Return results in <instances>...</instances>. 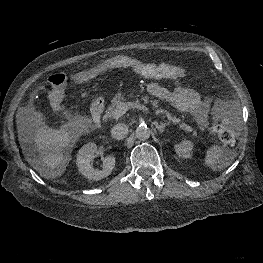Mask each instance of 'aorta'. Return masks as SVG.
I'll list each match as a JSON object with an SVG mask.
<instances>
[{
    "instance_id": "aorta-1",
    "label": "aorta",
    "mask_w": 263,
    "mask_h": 263,
    "mask_svg": "<svg viewBox=\"0 0 263 263\" xmlns=\"http://www.w3.org/2000/svg\"><path fill=\"white\" fill-rule=\"evenodd\" d=\"M150 134V129L145 125H139L135 131L136 137L142 141L147 140L150 137Z\"/></svg>"
}]
</instances>
